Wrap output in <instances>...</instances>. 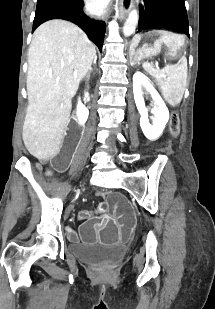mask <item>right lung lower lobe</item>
<instances>
[{
  "mask_svg": "<svg viewBox=\"0 0 215 309\" xmlns=\"http://www.w3.org/2000/svg\"><path fill=\"white\" fill-rule=\"evenodd\" d=\"M51 19H63L77 24L102 51L106 25L87 17L81 7L50 6L37 11L32 32L42 23Z\"/></svg>",
  "mask_w": 215,
  "mask_h": 309,
  "instance_id": "1",
  "label": "right lung lower lobe"
}]
</instances>
